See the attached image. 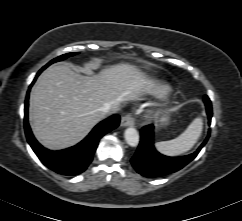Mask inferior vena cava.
<instances>
[{"instance_id": "inferior-vena-cava-1", "label": "inferior vena cava", "mask_w": 242, "mask_h": 221, "mask_svg": "<svg viewBox=\"0 0 242 221\" xmlns=\"http://www.w3.org/2000/svg\"><path fill=\"white\" fill-rule=\"evenodd\" d=\"M99 110L104 114L108 115L117 110L116 106L114 104H105L104 106L100 107Z\"/></svg>"}]
</instances>
